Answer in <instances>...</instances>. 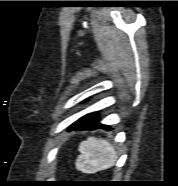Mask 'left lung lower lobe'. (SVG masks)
I'll return each mask as SVG.
<instances>
[{
	"mask_svg": "<svg viewBox=\"0 0 178 186\" xmlns=\"http://www.w3.org/2000/svg\"><path fill=\"white\" fill-rule=\"evenodd\" d=\"M99 113L94 112L87 114L80 119H78L75 123H73L70 127L74 129H97L103 128L105 130H112V128L108 125H104L100 123V119H98Z\"/></svg>",
	"mask_w": 178,
	"mask_h": 186,
	"instance_id": "obj_1",
	"label": "left lung lower lobe"
}]
</instances>
